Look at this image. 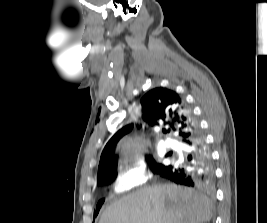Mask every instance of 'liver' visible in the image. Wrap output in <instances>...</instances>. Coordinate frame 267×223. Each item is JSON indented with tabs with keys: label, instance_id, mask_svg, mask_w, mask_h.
Listing matches in <instances>:
<instances>
[{
	"label": "liver",
	"instance_id": "1",
	"mask_svg": "<svg viewBox=\"0 0 267 223\" xmlns=\"http://www.w3.org/2000/svg\"><path fill=\"white\" fill-rule=\"evenodd\" d=\"M210 199L191 188L165 184L145 187L111 204L99 223H205Z\"/></svg>",
	"mask_w": 267,
	"mask_h": 223
}]
</instances>
